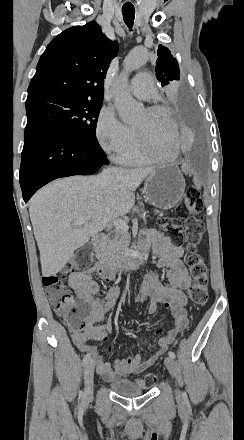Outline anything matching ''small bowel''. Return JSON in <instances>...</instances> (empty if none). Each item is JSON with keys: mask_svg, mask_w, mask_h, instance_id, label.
<instances>
[{"mask_svg": "<svg viewBox=\"0 0 244 440\" xmlns=\"http://www.w3.org/2000/svg\"><path fill=\"white\" fill-rule=\"evenodd\" d=\"M140 244L145 249L151 247L156 259L153 267L145 274L135 301L138 303L148 301L149 313H154L159 305H163L171 310L174 317L173 328L158 340L153 349L142 348L140 353L118 360L114 364L105 362L99 348L90 343L97 342L105 345V355L112 353L113 347L108 338L113 328L112 321L107 319L102 324L98 325V323L104 321L113 308L120 297V290L112 287L103 297H98L100 286L93 281V277L97 275L103 282L111 283L114 280V273L101 263H96L75 271L69 277V286L76 296L79 300H85L86 305L92 308V315L88 316L90 326L86 327L85 337L72 338V341L81 353L92 352L93 357L90 362L94 364L97 373L110 382L127 378L149 368L157 357L166 351L177 335L187 329L189 324L186 311L187 297L184 290L191 285V277L182 261L184 249L171 243L167 237L155 229L143 230L140 235ZM157 269L165 270L168 285L161 282ZM161 332L160 328L155 330L156 334Z\"/></svg>", "mask_w": 244, "mask_h": 440, "instance_id": "c3829d8e", "label": "small bowel"}]
</instances>
